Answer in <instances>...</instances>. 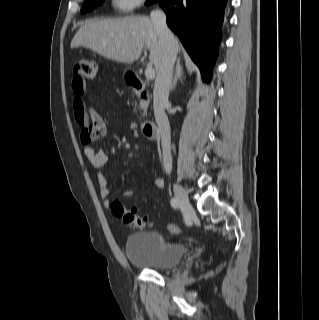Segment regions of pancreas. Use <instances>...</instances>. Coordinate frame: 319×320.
Returning <instances> with one entry per match:
<instances>
[{"instance_id": "pancreas-1", "label": "pancreas", "mask_w": 319, "mask_h": 320, "mask_svg": "<svg viewBox=\"0 0 319 320\" xmlns=\"http://www.w3.org/2000/svg\"><path fill=\"white\" fill-rule=\"evenodd\" d=\"M149 102L145 101V100H141L140 101V107L141 109H143L144 111H146L147 107H148Z\"/></svg>"}]
</instances>
